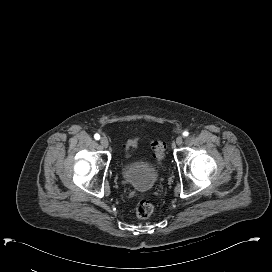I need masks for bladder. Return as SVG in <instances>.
<instances>
[{
	"label": "bladder",
	"mask_w": 272,
	"mask_h": 272,
	"mask_svg": "<svg viewBox=\"0 0 272 272\" xmlns=\"http://www.w3.org/2000/svg\"><path fill=\"white\" fill-rule=\"evenodd\" d=\"M122 177L132 187L148 191L159 181L160 173L144 162H134L122 169Z\"/></svg>",
	"instance_id": "obj_1"
}]
</instances>
